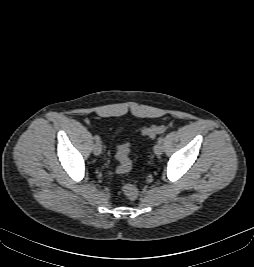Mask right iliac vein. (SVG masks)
I'll use <instances>...</instances> for the list:
<instances>
[{
    "instance_id": "right-iliac-vein-1",
    "label": "right iliac vein",
    "mask_w": 254,
    "mask_h": 267,
    "mask_svg": "<svg viewBox=\"0 0 254 267\" xmlns=\"http://www.w3.org/2000/svg\"><path fill=\"white\" fill-rule=\"evenodd\" d=\"M93 152L95 155H100L102 153V145L101 143L97 142L93 146Z\"/></svg>"
}]
</instances>
